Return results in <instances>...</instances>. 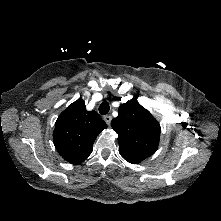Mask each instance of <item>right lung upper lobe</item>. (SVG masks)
Instances as JSON below:
<instances>
[{"label":"right lung upper lobe","mask_w":221,"mask_h":221,"mask_svg":"<svg viewBox=\"0 0 221 221\" xmlns=\"http://www.w3.org/2000/svg\"><path fill=\"white\" fill-rule=\"evenodd\" d=\"M105 128L107 125L97 112L87 111L83 99H78L58 117L53 142L65 160L79 164L91 154L94 140Z\"/></svg>","instance_id":"obj_1"}]
</instances>
